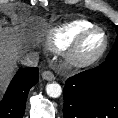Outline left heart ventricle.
I'll use <instances>...</instances> for the list:
<instances>
[{"instance_id": "obj_1", "label": "left heart ventricle", "mask_w": 118, "mask_h": 118, "mask_svg": "<svg viewBox=\"0 0 118 118\" xmlns=\"http://www.w3.org/2000/svg\"><path fill=\"white\" fill-rule=\"evenodd\" d=\"M104 39L100 33L90 35L81 48V56L88 57L94 55L103 46Z\"/></svg>"}]
</instances>
